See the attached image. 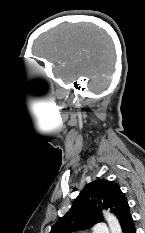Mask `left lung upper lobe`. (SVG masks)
<instances>
[{"mask_svg": "<svg viewBox=\"0 0 145 233\" xmlns=\"http://www.w3.org/2000/svg\"><path fill=\"white\" fill-rule=\"evenodd\" d=\"M102 208H110L119 219L122 230L132 220L120 187L111 181L98 179L83 188L71 209L54 224L50 233H71L89 228L103 221Z\"/></svg>", "mask_w": 145, "mask_h": 233, "instance_id": "5c2ea615", "label": "left lung upper lobe"}]
</instances>
